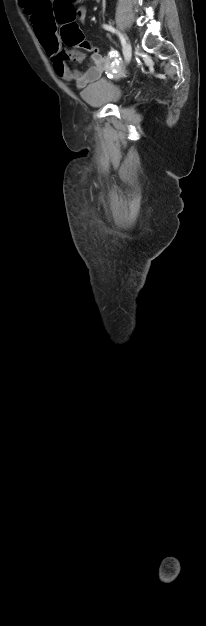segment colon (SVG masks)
<instances>
[{"label":"colon","mask_w":206,"mask_h":626,"mask_svg":"<svg viewBox=\"0 0 206 626\" xmlns=\"http://www.w3.org/2000/svg\"><path fill=\"white\" fill-rule=\"evenodd\" d=\"M83 0H56L54 6L56 9L57 22L61 25V37L65 45L69 47L89 48V43L85 41L83 33L78 25L74 22L75 12L73 6ZM34 10L33 8H30ZM65 59H80L78 52H70L62 54Z\"/></svg>","instance_id":"1"}]
</instances>
